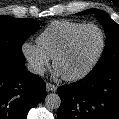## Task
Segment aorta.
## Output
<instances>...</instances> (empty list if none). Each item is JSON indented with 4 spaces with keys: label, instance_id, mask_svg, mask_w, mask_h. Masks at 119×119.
Masks as SVG:
<instances>
[{
    "label": "aorta",
    "instance_id": "aorta-1",
    "mask_svg": "<svg viewBox=\"0 0 119 119\" xmlns=\"http://www.w3.org/2000/svg\"><path fill=\"white\" fill-rule=\"evenodd\" d=\"M61 104V99L58 94L50 93L45 97V106L48 109H58Z\"/></svg>",
    "mask_w": 119,
    "mask_h": 119
}]
</instances>
